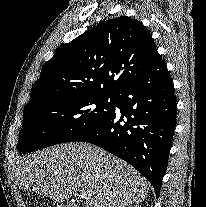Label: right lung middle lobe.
Here are the masks:
<instances>
[{
    "mask_svg": "<svg viewBox=\"0 0 206 207\" xmlns=\"http://www.w3.org/2000/svg\"><path fill=\"white\" fill-rule=\"evenodd\" d=\"M114 111V95L76 97L39 104L24 111L17 150L34 152L75 141Z\"/></svg>",
    "mask_w": 206,
    "mask_h": 207,
    "instance_id": "right-lung-middle-lobe-1",
    "label": "right lung middle lobe"
}]
</instances>
